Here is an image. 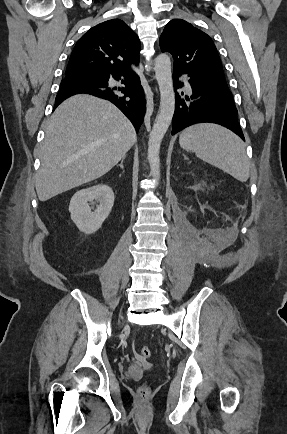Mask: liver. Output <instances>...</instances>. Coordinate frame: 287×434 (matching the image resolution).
<instances>
[{
  "label": "liver",
  "instance_id": "obj_1",
  "mask_svg": "<svg viewBox=\"0 0 287 434\" xmlns=\"http://www.w3.org/2000/svg\"><path fill=\"white\" fill-rule=\"evenodd\" d=\"M136 140L131 122L109 101L84 94L66 99L47 122L35 182L39 200L105 175Z\"/></svg>",
  "mask_w": 287,
  "mask_h": 434
}]
</instances>
